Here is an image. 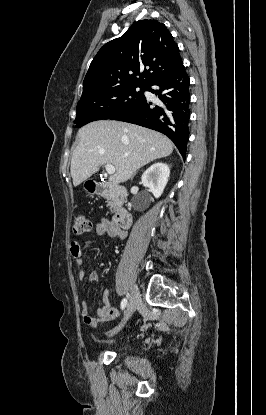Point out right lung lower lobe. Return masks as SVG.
Here are the masks:
<instances>
[{"instance_id":"right-lung-lower-lobe-1","label":"right lung lower lobe","mask_w":266,"mask_h":415,"mask_svg":"<svg viewBox=\"0 0 266 415\" xmlns=\"http://www.w3.org/2000/svg\"><path fill=\"white\" fill-rule=\"evenodd\" d=\"M157 86L152 89L151 86ZM190 80L182 65L178 70L165 75L147 86V91L157 95L161 104L153 105L146 98L115 116L119 120L159 131L168 136L179 152L186 158L190 119Z\"/></svg>"}]
</instances>
